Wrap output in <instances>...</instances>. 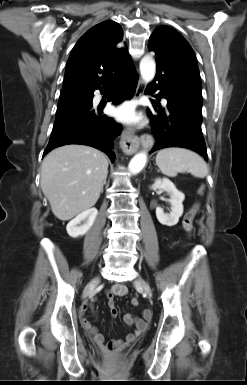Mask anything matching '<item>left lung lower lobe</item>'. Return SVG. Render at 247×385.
<instances>
[{"instance_id": "0a47b994", "label": "left lung lower lobe", "mask_w": 247, "mask_h": 385, "mask_svg": "<svg viewBox=\"0 0 247 385\" xmlns=\"http://www.w3.org/2000/svg\"><path fill=\"white\" fill-rule=\"evenodd\" d=\"M148 49L156 53L157 73L152 84L146 88L145 94H153L160 90L154 97L167 99L165 109L160 106L159 100L155 102L151 99L153 109L148 112L156 139L152 151L166 147H183L200 153L207 160L206 145L201 131V89L159 54L152 45H148Z\"/></svg>"}]
</instances>
